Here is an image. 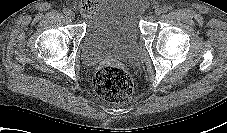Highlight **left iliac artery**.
Returning a JSON list of instances; mask_svg holds the SVG:
<instances>
[{
	"mask_svg": "<svg viewBox=\"0 0 227 133\" xmlns=\"http://www.w3.org/2000/svg\"><path fill=\"white\" fill-rule=\"evenodd\" d=\"M162 9H163V12L166 13V12H168V10H169L170 8L167 7V6H164Z\"/></svg>",
	"mask_w": 227,
	"mask_h": 133,
	"instance_id": "left-iliac-artery-1",
	"label": "left iliac artery"
}]
</instances>
